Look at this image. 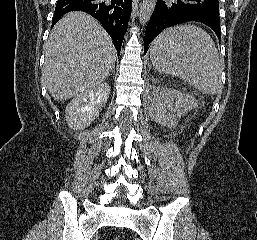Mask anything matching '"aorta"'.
I'll return each mask as SVG.
<instances>
[{"label": "aorta", "instance_id": "762f6f07", "mask_svg": "<svg viewBox=\"0 0 257 240\" xmlns=\"http://www.w3.org/2000/svg\"><path fill=\"white\" fill-rule=\"evenodd\" d=\"M157 0H143L140 12H139V21L142 24H145L151 18Z\"/></svg>", "mask_w": 257, "mask_h": 240}]
</instances>
